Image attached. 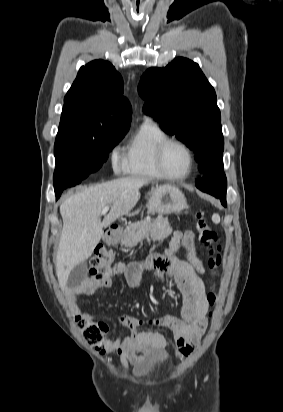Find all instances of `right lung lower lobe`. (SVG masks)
Listing matches in <instances>:
<instances>
[{"mask_svg":"<svg viewBox=\"0 0 283 412\" xmlns=\"http://www.w3.org/2000/svg\"><path fill=\"white\" fill-rule=\"evenodd\" d=\"M82 180L81 178L78 179H59L54 182V189L56 194V199H58L62 193V191L67 187L75 186L79 184Z\"/></svg>","mask_w":283,"mask_h":412,"instance_id":"98d812e1","label":"right lung lower lobe"}]
</instances>
